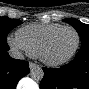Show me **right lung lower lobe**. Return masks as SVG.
Segmentation results:
<instances>
[{
    "mask_svg": "<svg viewBox=\"0 0 89 89\" xmlns=\"http://www.w3.org/2000/svg\"><path fill=\"white\" fill-rule=\"evenodd\" d=\"M9 46L0 43V89H15L18 81L29 73L28 62L9 56Z\"/></svg>",
    "mask_w": 89,
    "mask_h": 89,
    "instance_id": "98d812e1",
    "label": "right lung lower lobe"
}]
</instances>
